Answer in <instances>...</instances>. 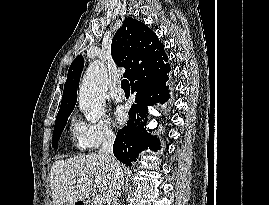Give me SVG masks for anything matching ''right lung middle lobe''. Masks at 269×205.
I'll list each match as a JSON object with an SVG mask.
<instances>
[{
    "label": "right lung middle lobe",
    "instance_id": "dd1d6c3e",
    "mask_svg": "<svg viewBox=\"0 0 269 205\" xmlns=\"http://www.w3.org/2000/svg\"><path fill=\"white\" fill-rule=\"evenodd\" d=\"M69 115L60 117L56 119L55 121V126H54V132H53V137H52V147L57 149V143L58 140L63 132V129L67 123Z\"/></svg>",
    "mask_w": 269,
    "mask_h": 205
}]
</instances>
